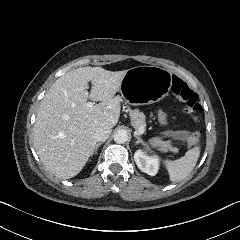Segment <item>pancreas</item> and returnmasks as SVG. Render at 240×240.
<instances>
[{"label":"pancreas","instance_id":"1","mask_svg":"<svg viewBox=\"0 0 240 240\" xmlns=\"http://www.w3.org/2000/svg\"><path fill=\"white\" fill-rule=\"evenodd\" d=\"M129 115H130V118H131V123H132V126L135 128V129H139L141 126L142 127H145L146 126V119H145V115L144 113H142L140 111V109L138 108H129ZM152 146H155V147H162L161 150L162 151H171V152H174V153H178V148L176 147H172L171 143L169 141H163L161 139H155L152 143Z\"/></svg>","mask_w":240,"mask_h":240}]
</instances>
